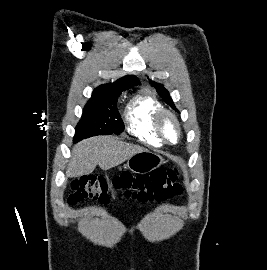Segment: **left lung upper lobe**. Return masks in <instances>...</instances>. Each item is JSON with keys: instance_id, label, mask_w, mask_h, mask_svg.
Masks as SVG:
<instances>
[{"instance_id": "1", "label": "left lung upper lobe", "mask_w": 267, "mask_h": 270, "mask_svg": "<svg viewBox=\"0 0 267 270\" xmlns=\"http://www.w3.org/2000/svg\"><path fill=\"white\" fill-rule=\"evenodd\" d=\"M152 85L156 88L158 94L161 96V98L167 103L169 104L174 110L178 111L168 93V91L161 85L158 83H155L153 81H151Z\"/></svg>"}]
</instances>
